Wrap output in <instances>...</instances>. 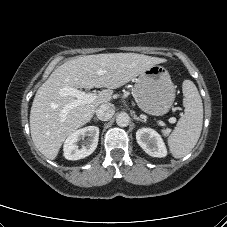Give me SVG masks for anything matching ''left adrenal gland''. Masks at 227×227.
I'll list each match as a JSON object with an SVG mask.
<instances>
[{
    "mask_svg": "<svg viewBox=\"0 0 227 227\" xmlns=\"http://www.w3.org/2000/svg\"><path fill=\"white\" fill-rule=\"evenodd\" d=\"M134 119L137 120V121L145 122V120H143V119L137 117L136 115H134Z\"/></svg>",
    "mask_w": 227,
    "mask_h": 227,
    "instance_id": "1",
    "label": "left adrenal gland"
}]
</instances>
